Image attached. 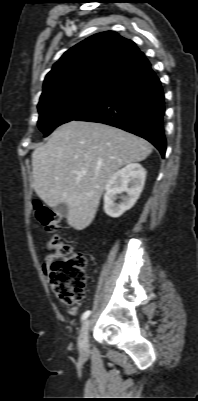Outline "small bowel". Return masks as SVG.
<instances>
[{"instance_id":"obj_1","label":"small bowel","mask_w":198,"mask_h":401,"mask_svg":"<svg viewBox=\"0 0 198 401\" xmlns=\"http://www.w3.org/2000/svg\"><path fill=\"white\" fill-rule=\"evenodd\" d=\"M55 256H47L42 263V271L44 274H49L51 266L54 262Z\"/></svg>"}]
</instances>
